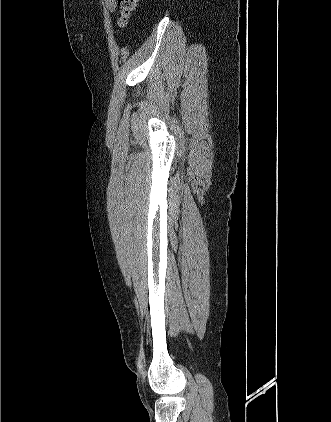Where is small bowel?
<instances>
[{
  "label": "small bowel",
  "instance_id": "small-bowel-1",
  "mask_svg": "<svg viewBox=\"0 0 331 422\" xmlns=\"http://www.w3.org/2000/svg\"><path fill=\"white\" fill-rule=\"evenodd\" d=\"M103 4L109 12H113L117 7L118 0H103Z\"/></svg>",
  "mask_w": 331,
  "mask_h": 422
}]
</instances>
